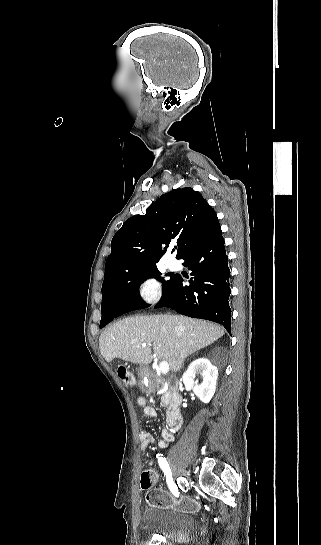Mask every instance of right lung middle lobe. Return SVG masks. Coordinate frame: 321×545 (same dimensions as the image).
<instances>
[{"label": "right lung middle lobe", "instance_id": "1", "mask_svg": "<svg viewBox=\"0 0 321 545\" xmlns=\"http://www.w3.org/2000/svg\"><path fill=\"white\" fill-rule=\"evenodd\" d=\"M161 273L158 271L157 267L148 268L133 274L128 275L123 279V281L114 288H108V289H102V305L108 300V298L113 295H131L132 297L136 298L139 301H142L139 296V286L140 284L151 277L158 278L160 281L163 282V292L167 289L168 285L171 283L172 279L174 278V274H166L167 276H171V279L168 281H164L162 278L158 277ZM143 302V301H142ZM104 325V318H101L100 322V328H102Z\"/></svg>", "mask_w": 321, "mask_h": 545}]
</instances>
